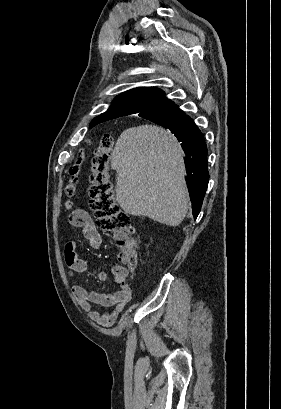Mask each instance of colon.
<instances>
[{"mask_svg": "<svg viewBox=\"0 0 281 409\" xmlns=\"http://www.w3.org/2000/svg\"><path fill=\"white\" fill-rule=\"evenodd\" d=\"M114 154V145L110 135H103L100 146L91 159V209L96 224L99 228L117 234L116 245L118 256L125 263L135 266L136 264V241L129 237L133 230L130 216L125 213L116 202L114 196V184L111 178V160ZM86 153L80 152L69 169L71 179L66 186L69 197L76 195L80 183V174L85 163ZM73 202L66 203L71 208Z\"/></svg>", "mask_w": 281, "mask_h": 409, "instance_id": "5ec220e1", "label": "colon"}]
</instances>
